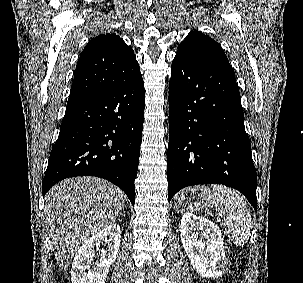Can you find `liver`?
Returning a JSON list of instances; mask_svg holds the SVG:
<instances>
[{
  "label": "liver",
  "mask_w": 303,
  "mask_h": 283,
  "mask_svg": "<svg viewBox=\"0 0 303 283\" xmlns=\"http://www.w3.org/2000/svg\"><path fill=\"white\" fill-rule=\"evenodd\" d=\"M44 214L55 259L67 270L90 236L115 222L124 209V193L95 177L69 178L45 196Z\"/></svg>",
  "instance_id": "liver-1"
}]
</instances>
